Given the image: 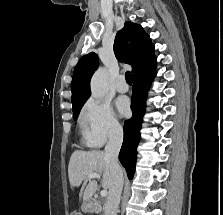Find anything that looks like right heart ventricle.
Segmentation results:
<instances>
[{
    "label": "right heart ventricle",
    "mask_w": 223,
    "mask_h": 215,
    "mask_svg": "<svg viewBox=\"0 0 223 215\" xmlns=\"http://www.w3.org/2000/svg\"><path fill=\"white\" fill-rule=\"evenodd\" d=\"M82 135H83L84 139H85L86 141H88L87 136H86V133L84 132L83 129H82ZM88 142H89V141H88Z\"/></svg>",
    "instance_id": "right-heart-ventricle-1"
}]
</instances>
